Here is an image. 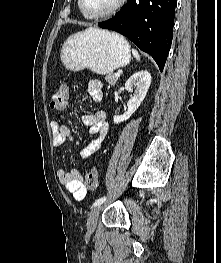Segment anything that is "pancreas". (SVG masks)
Instances as JSON below:
<instances>
[{
  "label": "pancreas",
  "instance_id": "obj_1",
  "mask_svg": "<svg viewBox=\"0 0 221 263\" xmlns=\"http://www.w3.org/2000/svg\"><path fill=\"white\" fill-rule=\"evenodd\" d=\"M105 79L111 86H114L118 80V77H116L113 73H111L106 75Z\"/></svg>",
  "mask_w": 221,
  "mask_h": 263
}]
</instances>
